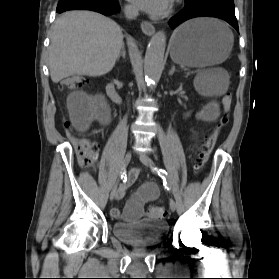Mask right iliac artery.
Returning a JSON list of instances; mask_svg holds the SVG:
<instances>
[{"label": "right iliac artery", "mask_w": 279, "mask_h": 279, "mask_svg": "<svg viewBox=\"0 0 279 279\" xmlns=\"http://www.w3.org/2000/svg\"><path fill=\"white\" fill-rule=\"evenodd\" d=\"M121 178H124L125 181H126V174H125V171H124L123 174L121 175ZM126 188H127L126 186L120 188L121 193L119 194V197H121V196L124 194Z\"/></svg>", "instance_id": "82829eb1"}]
</instances>
